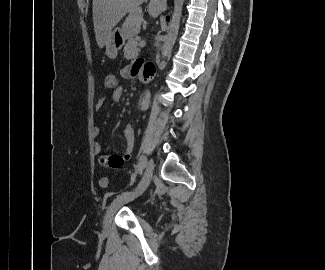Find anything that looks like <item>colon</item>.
<instances>
[{"mask_svg":"<svg viewBox=\"0 0 325 270\" xmlns=\"http://www.w3.org/2000/svg\"><path fill=\"white\" fill-rule=\"evenodd\" d=\"M119 86V79L113 72H109L104 78V87L108 90H114ZM109 180L106 176H102L99 179V185L103 188L108 187Z\"/></svg>","mask_w":325,"mask_h":270,"instance_id":"5ec220e1","label":"colon"}]
</instances>
